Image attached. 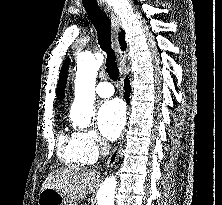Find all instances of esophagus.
Masks as SVG:
<instances>
[{
    "instance_id": "obj_1",
    "label": "esophagus",
    "mask_w": 222,
    "mask_h": 205,
    "mask_svg": "<svg viewBox=\"0 0 222 205\" xmlns=\"http://www.w3.org/2000/svg\"><path fill=\"white\" fill-rule=\"evenodd\" d=\"M104 11L105 13L109 16L111 20V26H112V43L114 50L117 54L118 60L122 61L123 60V55L119 46L118 42V33L120 30V22L116 14L114 13L113 9L110 6H104ZM122 148V143H119L116 148L113 150L111 153L110 157L107 160V165L113 164L119 157L120 151Z\"/></svg>"
}]
</instances>
